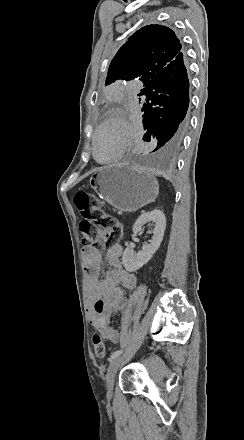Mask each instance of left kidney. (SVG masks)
<instances>
[{
    "mask_svg": "<svg viewBox=\"0 0 244 440\" xmlns=\"http://www.w3.org/2000/svg\"><path fill=\"white\" fill-rule=\"evenodd\" d=\"M148 222H153L154 224L152 232H148V234H153V238L152 240H150V244H144L141 254H135L134 250H131V248H125L124 250V254L122 256V264L127 272H136V270L142 268L144 264H147V262L151 260L153 254L157 252L163 240L166 226V218L165 214H163L161 210L144 212V214H142V216H139L138 220H136L132 232H135V234H138V232H142L143 226H145V224H148Z\"/></svg>",
    "mask_w": 244,
    "mask_h": 440,
    "instance_id": "left-kidney-1",
    "label": "left kidney"
}]
</instances>
